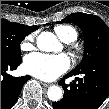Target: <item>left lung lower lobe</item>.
I'll list each match as a JSON object with an SVG mask.
<instances>
[{"label": "left lung lower lobe", "mask_w": 109, "mask_h": 109, "mask_svg": "<svg viewBox=\"0 0 109 109\" xmlns=\"http://www.w3.org/2000/svg\"><path fill=\"white\" fill-rule=\"evenodd\" d=\"M76 76L75 81L68 85L64 80ZM64 89L61 101L53 102L54 109H98L109 96V60L92 63L77 72L67 74L59 82ZM78 91L76 98H71L73 91Z\"/></svg>", "instance_id": "obj_1"}]
</instances>
